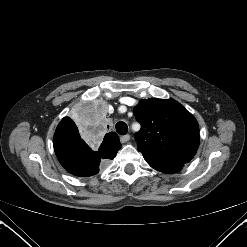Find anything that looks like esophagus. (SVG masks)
Returning a JSON list of instances; mask_svg holds the SVG:
<instances>
[{
	"label": "esophagus",
	"instance_id": "esophagus-1",
	"mask_svg": "<svg viewBox=\"0 0 247 247\" xmlns=\"http://www.w3.org/2000/svg\"><path fill=\"white\" fill-rule=\"evenodd\" d=\"M130 140V135H124L120 137L121 143H126Z\"/></svg>",
	"mask_w": 247,
	"mask_h": 247
}]
</instances>
